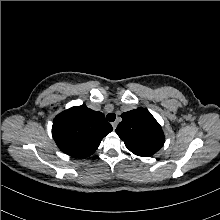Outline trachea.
I'll use <instances>...</instances> for the list:
<instances>
[{
    "label": "trachea",
    "mask_w": 220,
    "mask_h": 220,
    "mask_svg": "<svg viewBox=\"0 0 220 220\" xmlns=\"http://www.w3.org/2000/svg\"><path fill=\"white\" fill-rule=\"evenodd\" d=\"M106 118L109 122H113L116 119V115L114 113H109Z\"/></svg>",
    "instance_id": "trachea-1"
}]
</instances>
